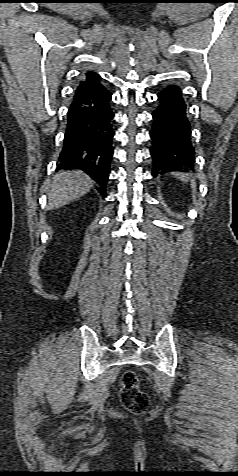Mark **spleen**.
I'll list each match as a JSON object with an SVG mask.
<instances>
[{
    "instance_id": "3e777b00",
    "label": "spleen",
    "mask_w": 238,
    "mask_h": 476,
    "mask_svg": "<svg viewBox=\"0 0 238 476\" xmlns=\"http://www.w3.org/2000/svg\"><path fill=\"white\" fill-rule=\"evenodd\" d=\"M173 175H174L176 178H178V179H180L181 181H183V182H187L188 179H189L188 175H186V174H184V173L175 172V173H173Z\"/></svg>"
}]
</instances>
